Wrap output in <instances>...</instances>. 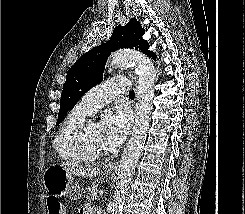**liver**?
<instances>
[{
	"instance_id": "obj_1",
	"label": "liver",
	"mask_w": 245,
	"mask_h": 214,
	"mask_svg": "<svg viewBox=\"0 0 245 214\" xmlns=\"http://www.w3.org/2000/svg\"><path fill=\"white\" fill-rule=\"evenodd\" d=\"M64 170L79 175L82 177H94L99 174L100 170L95 167H77L69 163H62L60 165Z\"/></svg>"
}]
</instances>
